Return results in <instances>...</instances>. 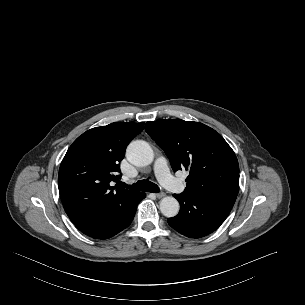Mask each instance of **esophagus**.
<instances>
[{
  "instance_id": "1",
  "label": "esophagus",
  "mask_w": 305,
  "mask_h": 305,
  "mask_svg": "<svg viewBox=\"0 0 305 305\" xmlns=\"http://www.w3.org/2000/svg\"><path fill=\"white\" fill-rule=\"evenodd\" d=\"M155 196L160 199V198L165 196V193L164 192H159V193H156Z\"/></svg>"
}]
</instances>
